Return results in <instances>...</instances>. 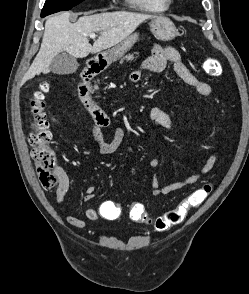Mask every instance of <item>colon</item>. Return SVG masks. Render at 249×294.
<instances>
[{"instance_id": "obj_1", "label": "colon", "mask_w": 249, "mask_h": 294, "mask_svg": "<svg viewBox=\"0 0 249 294\" xmlns=\"http://www.w3.org/2000/svg\"><path fill=\"white\" fill-rule=\"evenodd\" d=\"M203 70L212 77L221 75L220 65L213 59L206 58L202 63ZM49 84L42 83L33 92L29 100V119L31 133L29 142L32 146V158L36 167L39 181L44 188L59 186L63 173L57 168L56 154L51 147L52 135L49 130L45 114V94L49 91ZM213 185L206 183L183 199L174 209L159 217L151 218L141 203H133L129 210L131 220L151 225L156 231H166L184 221L190 209L199 206L212 192ZM112 218L120 216V209H112Z\"/></svg>"}]
</instances>
